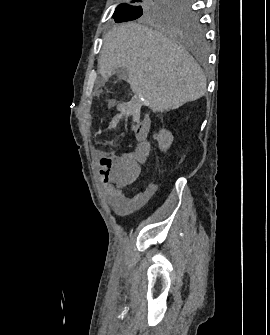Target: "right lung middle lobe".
<instances>
[{"label": "right lung middle lobe", "instance_id": "1", "mask_svg": "<svg viewBox=\"0 0 270 335\" xmlns=\"http://www.w3.org/2000/svg\"><path fill=\"white\" fill-rule=\"evenodd\" d=\"M113 18L116 23L140 18L183 41L203 43L204 27L189 0H130L118 5Z\"/></svg>", "mask_w": 270, "mask_h": 335}]
</instances>
